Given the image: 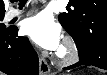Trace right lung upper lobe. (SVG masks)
<instances>
[{"mask_svg": "<svg viewBox=\"0 0 107 75\" xmlns=\"http://www.w3.org/2000/svg\"><path fill=\"white\" fill-rule=\"evenodd\" d=\"M4 13H5L4 3L3 0H0V14H4Z\"/></svg>", "mask_w": 107, "mask_h": 75, "instance_id": "obj_1", "label": "right lung upper lobe"}]
</instances>
